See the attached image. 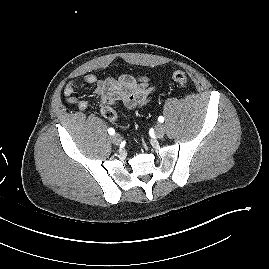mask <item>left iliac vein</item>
Wrapping results in <instances>:
<instances>
[{
    "label": "left iliac vein",
    "mask_w": 269,
    "mask_h": 269,
    "mask_svg": "<svg viewBox=\"0 0 269 269\" xmlns=\"http://www.w3.org/2000/svg\"><path fill=\"white\" fill-rule=\"evenodd\" d=\"M155 134L158 138H163L164 134H165V127L162 124H158L155 127Z\"/></svg>",
    "instance_id": "obj_1"
}]
</instances>
